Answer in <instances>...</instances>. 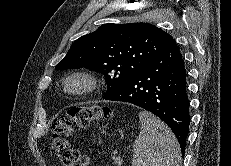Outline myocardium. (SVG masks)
Here are the masks:
<instances>
[{
  "label": "myocardium",
  "mask_w": 231,
  "mask_h": 166,
  "mask_svg": "<svg viewBox=\"0 0 231 166\" xmlns=\"http://www.w3.org/2000/svg\"><path fill=\"white\" fill-rule=\"evenodd\" d=\"M101 84L97 73L87 69H75L61 80V90L69 96H85L95 92Z\"/></svg>",
  "instance_id": "obj_1"
}]
</instances>
